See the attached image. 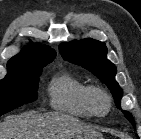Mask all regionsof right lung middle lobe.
Returning a JSON list of instances; mask_svg holds the SVG:
<instances>
[{"label": "right lung middle lobe", "mask_w": 141, "mask_h": 139, "mask_svg": "<svg viewBox=\"0 0 141 139\" xmlns=\"http://www.w3.org/2000/svg\"><path fill=\"white\" fill-rule=\"evenodd\" d=\"M44 66L8 70L0 81V116L37 99L39 75Z\"/></svg>", "instance_id": "1"}]
</instances>
